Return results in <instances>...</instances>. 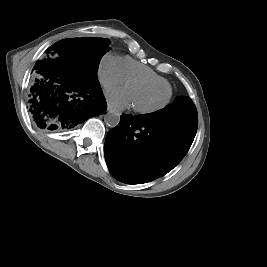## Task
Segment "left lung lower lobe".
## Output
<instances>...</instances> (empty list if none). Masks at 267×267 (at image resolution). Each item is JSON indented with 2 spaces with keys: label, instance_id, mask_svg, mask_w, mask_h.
Returning a JSON list of instances; mask_svg holds the SVG:
<instances>
[{
  "label": "left lung lower lobe",
  "instance_id": "0a47b994",
  "mask_svg": "<svg viewBox=\"0 0 267 267\" xmlns=\"http://www.w3.org/2000/svg\"><path fill=\"white\" fill-rule=\"evenodd\" d=\"M198 122L178 117L121 115L107 134L104 154L108 168L127 184L155 180L178 165L188 152Z\"/></svg>",
  "mask_w": 267,
  "mask_h": 267
}]
</instances>
